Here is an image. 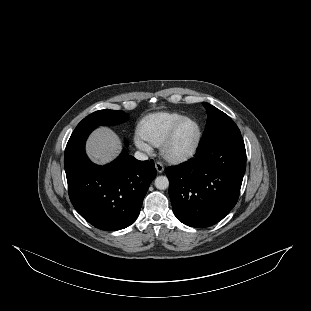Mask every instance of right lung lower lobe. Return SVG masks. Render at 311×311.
Segmentation results:
<instances>
[{
    "label": "right lung lower lobe",
    "mask_w": 311,
    "mask_h": 311,
    "mask_svg": "<svg viewBox=\"0 0 311 311\" xmlns=\"http://www.w3.org/2000/svg\"><path fill=\"white\" fill-rule=\"evenodd\" d=\"M93 129L74 130L67 143L64 167L69 197L76 211L96 228L120 230L138 217L156 169L153 160L138 161L126 152L108 165L93 164L85 153Z\"/></svg>",
    "instance_id": "1"
}]
</instances>
